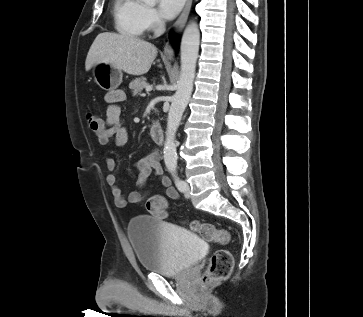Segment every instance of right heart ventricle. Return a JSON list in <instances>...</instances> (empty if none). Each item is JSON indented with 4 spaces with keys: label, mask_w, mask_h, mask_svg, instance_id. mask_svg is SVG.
<instances>
[{
    "label": "right heart ventricle",
    "mask_w": 363,
    "mask_h": 317,
    "mask_svg": "<svg viewBox=\"0 0 363 317\" xmlns=\"http://www.w3.org/2000/svg\"><path fill=\"white\" fill-rule=\"evenodd\" d=\"M145 9L141 0H114L113 14L116 30L125 36H143L147 29Z\"/></svg>",
    "instance_id": "e07e8e85"
}]
</instances>
